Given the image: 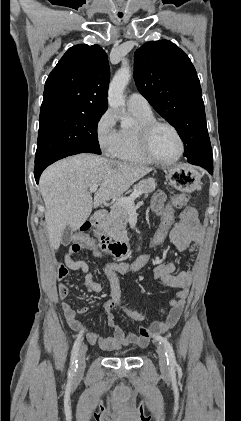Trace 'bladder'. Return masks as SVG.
Instances as JSON below:
<instances>
[{"label":"bladder","mask_w":241,"mask_h":421,"mask_svg":"<svg viewBox=\"0 0 241 421\" xmlns=\"http://www.w3.org/2000/svg\"><path fill=\"white\" fill-rule=\"evenodd\" d=\"M114 356H125L126 353L125 352H116L113 354Z\"/></svg>","instance_id":"31cf9c89"}]
</instances>
